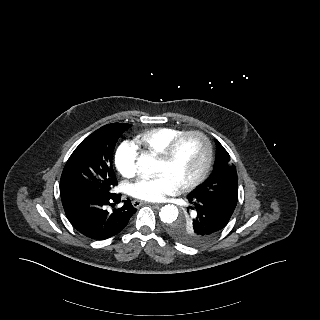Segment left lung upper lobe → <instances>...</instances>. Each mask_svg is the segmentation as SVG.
<instances>
[{
	"instance_id": "left-lung-upper-lobe-1",
	"label": "left lung upper lobe",
	"mask_w": 320,
	"mask_h": 320,
	"mask_svg": "<svg viewBox=\"0 0 320 320\" xmlns=\"http://www.w3.org/2000/svg\"><path fill=\"white\" fill-rule=\"evenodd\" d=\"M216 145V160L211 176L190 194L200 195L235 209L238 200L236 167L224 147L218 141ZM187 212L188 214L184 217L178 218L169 224V234L177 241L187 245H196L204 242L198 234L199 223L201 222L199 220L200 213L193 204L187 208Z\"/></svg>"
}]
</instances>
